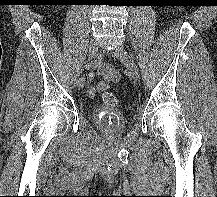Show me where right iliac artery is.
<instances>
[{
  "instance_id": "obj_1",
  "label": "right iliac artery",
  "mask_w": 217,
  "mask_h": 197,
  "mask_svg": "<svg viewBox=\"0 0 217 197\" xmlns=\"http://www.w3.org/2000/svg\"><path fill=\"white\" fill-rule=\"evenodd\" d=\"M99 59H100V58L98 57L94 62L87 63V64L85 65V68L89 69V68H91V67L97 66V64H98V62H99Z\"/></svg>"
}]
</instances>
